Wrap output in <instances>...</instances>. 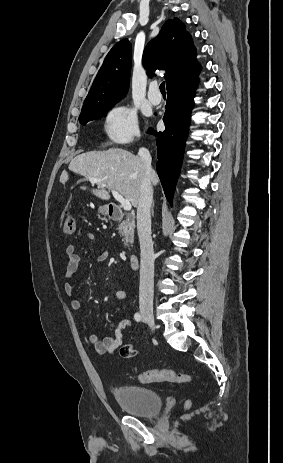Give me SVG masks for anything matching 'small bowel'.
Wrapping results in <instances>:
<instances>
[{
    "label": "small bowel",
    "mask_w": 283,
    "mask_h": 463,
    "mask_svg": "<svg viewBox=\"0 0 283 463\" xmlns=\"http://www.w3.org/2000/svg\"><path fill=\"white\" fill-rule=\"evenodd\" d=\"M87 238L90 242H95L97 237L94 233L90 232L87 235ZM66 253V266H65V278L67 282L64 285L65 293L70 297L71 308L75 311H78L83 306V300L75 296L74 287L71 284V280L74 278L79 264V255L76 252L74 245L70 244L65 249ZM109 256L108 251L101 252L97 258V262L105 261ZM127 293L123 290H118L115 292V298L119 301L127 300ZM131 326L129 320H122L116 327L114 335L106 336L103 339H99L97 335L89 333L88 339L89 342L94 346L98 354H115L117 349L120 348L119 354L124 358H133L137 354V350L133 344L128 343L123 345L122 337L123 331ZM85 331L89 332L88 327L84 325ZM124 350V352H122Z\"/></svg>",
    "instance_id": "small-bowel-1"
}]
</instances>
